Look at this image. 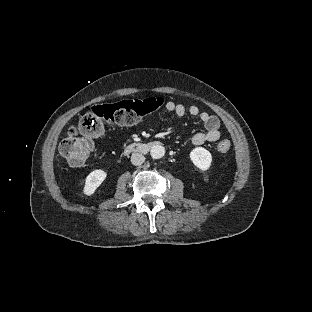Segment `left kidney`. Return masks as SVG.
I'll use <instances>...</instances> for the list:
<instances>
[{"mask_svg": "<svg viewBox=\"0 0 312 312\" xmlns=\"http://www.w3.org/2000/svg\"><path fill=\"white\" fill-rule=\"evenodd\" d=\"M193 164L202 171H206L211 166V153L203 147H197L190 153Z\"/></svg>", "mask_w": 312, "mask_h": 312, "instance_id": "1", "label": "left kidney"}]
</instances>
